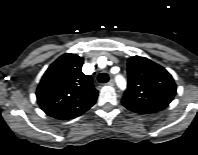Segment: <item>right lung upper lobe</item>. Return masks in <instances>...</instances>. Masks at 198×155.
<instances>
[{"label":"right lung upper lobe","instance_id":"cb5924a9","mask_svg":"<svg viewBox=\"0 0 198 155\" xmlns=\"http://www.w3.org/2000/svg\"><path fill=\"white\" fill-rule=\"evenodd\" d=\"M83 58L64 54L50 65L43 75L37 91V101L42 110L56 119H71L91 108L98 91L92 77L82 72Z\"/></svg>","mask_w":198,"mask_h":155}]
</instances>
